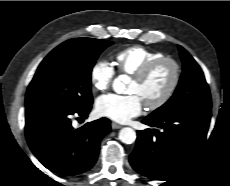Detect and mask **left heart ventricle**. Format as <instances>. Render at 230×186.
<instances>
[{
    "label": "left heart ventricle",
    "instance_id": "left-heart-ventricle-1",
    "mask_svg": "<svg viewBox=\"0 0 230 186\" xmlns=\"http://www.w3.org/2000/svg\"><path fill=\"white\" fill-rule=\"evenodd\" d=\"M172 79V68L168 64L158 67L150 77L142 83L131 81L129 93L136 94L143 103L159 99L168 88Z\"/></svg>",
    "mask_w": 230,
    "mask_h": 186
}]
</instances>
